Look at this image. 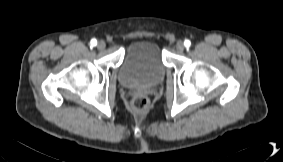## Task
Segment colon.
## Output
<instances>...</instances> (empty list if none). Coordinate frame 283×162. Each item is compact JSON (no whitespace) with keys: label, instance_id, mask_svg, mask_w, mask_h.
<instances>
[{"label":"colon","instance_id":"colon-1","mask_svg":"<svg viewBox=\"0 0 283 162\" xmlns=\"http://www.w3.org/2000/svg\"><path fill=\"white\" fill-rule=\"evenodd\" d=\"M148 98L144 95H137L133 98L132 106L137 111H143L148 107Z\"/></svg>","mask_w":283,"mask_h":162}]
</instances>
